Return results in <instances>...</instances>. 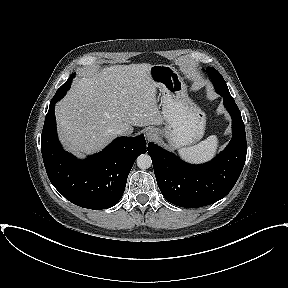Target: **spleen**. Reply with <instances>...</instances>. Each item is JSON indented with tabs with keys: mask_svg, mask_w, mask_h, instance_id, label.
I'll return each instance as SVG.
<instances>
[{
	"mask_svg": "<svg viewBox=\"0 0 288 288\" xmlns=\"http://www.w3.org/2000/svg\"><path fill=\"white\" fill-rule=\"evenodd\" d=\"M217 147L218 138L211 135L197 145L179 149L178 153L185 161L197 164L211 160L217 151Z\"/></svg>",
	"mask_w": 288,
	"mask_h": 288,
	"instance_id": "obj_1",
	"label": "spleen"
}]
</instances>
